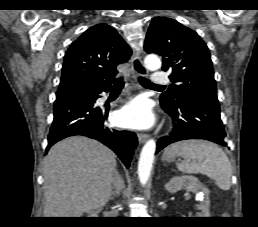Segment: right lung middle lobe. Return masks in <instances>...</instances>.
<instances>
[{"mask_svg": "<svg viewBox=\"0 0 258 227\" xmlns=\"http://www.w3.org/2000/svg\"><path fill=\"white\" fill-rule=\"evenodd\" d=\"M73 89H70V90H66V91H60V92H57L56 94V98L64 95V94H67L68 92L72 91Z\"/></svg>", "mask_w": 258, "mask_h": 227, "instance_id": "dd1d6c3e", "label": "right lung middle lobe"}]
</instances>
